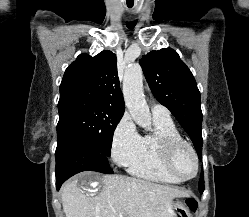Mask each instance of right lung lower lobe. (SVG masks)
<instances>
[{
	"mask_svg": "<svg viewBox=\"0 0 249 217\" xmlns=\"http://www.w3.org/2000/svg\"><path fill=\"white\" fill-rule=\"evenodd\" d=\"M56 187L69 177L82 171H97L111 174L107 156L85 143L70 132L57 133Z\"/></svg>",
	"mask_w": 249,
	"mask_h": 217,
	"instance_id": "98d812e1",
	"label": "right lung lower lobe"
}]
</instances>
